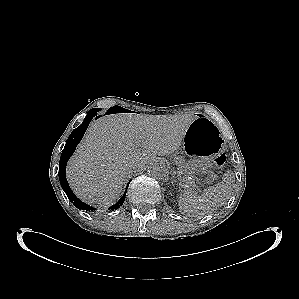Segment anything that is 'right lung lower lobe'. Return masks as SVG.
<instances>
[{
    "instance_id": "right-lung-lower-lobe-1",
    "label": "right lung lower lobe",
    "mask_w": 299,
    "mask_h": 299,
    "mask_svg": "<svg viewBox=\"0 0 299 299\" xmlns=\"http://www.w3.org/2000/svg\"><path fill=\"white\" fill-rule=\"evenodd\" d=\"M96 112L97 111L88 112L83 123L72 131L69 138L67 139L66 145L62 151L60 162H59V180H60L61 187L63 188L69 200L73 203V205L80 210H94V208L80 201L70 189L65 176L66 164L68 162V159L75 151L77 144L81 141L82 137L84 136V133L88 128L90 121L96 115ZM96 118H98V116ZM130 182L131 180L129 181V183ZM129 183L127 185V188L129 186ZM126 191L124 192L123 196L119 199V201L115 205L111 206L109 209L111 210L118 209L123 204L126 196Z\"/></svg>"
}]
</instances>
